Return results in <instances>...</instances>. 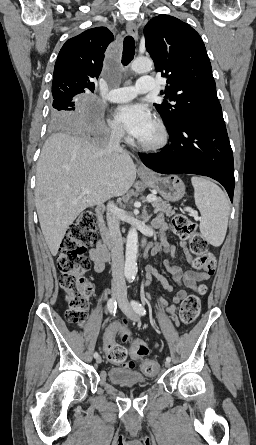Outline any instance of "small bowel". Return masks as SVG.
I'll use <instances>...</instances> for the list:
<instances>
[{"label":"small bowel","mask_w":256,"mask_h":445,"mask_svg":"<svg viewBox=\"0 0 256 445\" xmlns=\"http://www.w3.org/2000/svg\"><path fill=\"white\" fill-rule=\"evenodd\" d=\"M153 224L159 230V239L153 249V255L165 254L167 256L164 260V269L171 275L173 281L181 287V289L174 295L172 303H169L166 299L161 297L159 298L158 305L160 308L164 309L173 320H176L177 305L187 296L185 288L193 290L198 283L203 282L208 278V274L194 270H186L181 265L173 263V260L176 258L175 246L167 235V226L162 216L156 217ZM180 246L184 251L185 259L188 263H191L192 259L187 251L186 243L182 241ZM89 257L94 264V271L96 273H102L105 270L106 263L110 259L108 250L101 242H98L96 246L90 250ZM153 279L158 280L163 289L167 292L173 291V285L159 273L155 266L149 265L146 268V283L149 284ZM117 330L118 324L116 323L111 324L106 329L103 337L105 348L108 345L115 343ZM155 346H157V344H155ZM123 367L131 368L133 367V364L129 363Z\"/></svg>","instance_id":"1"}]
</instances>
